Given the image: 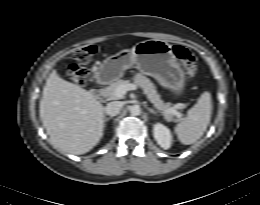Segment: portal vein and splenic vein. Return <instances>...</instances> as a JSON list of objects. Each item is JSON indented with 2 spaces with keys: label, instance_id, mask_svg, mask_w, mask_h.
Listing matches in <instances>:
<instances>
[{
  "label": "portal vein and splenic vein",
  "instance_id": "portal-vein-and-splenic-vein-1",
  "mask_svg": "<svg viewBox=\"0 0 260 205\" xmlns=\"http://www.w3.org/2000/svg\"><path fill=\"white\" fill-rule=\"evenodd\" d=\"M137 85L136 84H133V83H129L127 85H121L119 86L117 89H116V96H117V99H121L127 91H130V90H136L137 89ZM167 113H171V114H174L176 115L178 118H180L182 115L181 113L177 112L175 109H171L169 110Z\"/></svg>",
  "mask_w": 260,
  "mask_h": 205
}]
</instances>
